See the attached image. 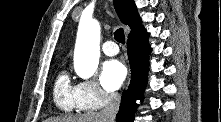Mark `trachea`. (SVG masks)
<instances>
[{
  "label": "trachea",
  "mask_w": 221,
  "mask_h": 122,
  "mask_svg": "<svg viewBox=\"0 0 221 122\" xmlns=\"http://www.w3.org/2000/svg\"><path fill=\"white\" fill-rule=\"evenodd\" d=\"M114 38L117 42L124 44L125 43V35L122 28H119L114 33Z\"/></svg>",
  "instance_id": "1"
}]
</instances>
